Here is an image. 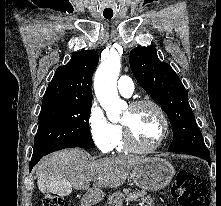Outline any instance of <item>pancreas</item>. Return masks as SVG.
Returning <instances> with one entry per match:
<instances>
[{
    "label": "pancreas",
    "mask_w": 221,
    "mask_h": 206,
    "mask_svg": "<svg viewBox=\"0 0 221 206\" xmlns=\"http://www.w3.org/2000/svg\"><path fill=\"white\" fill-rule=\"evenodd\" d=\"M133 196L140 198L139 204L141 206H154V199L150 195H146L144 192L132 191L130 189H124L123 192H116L107 198L105 206H123V203Z\"/></svg>",
    "instance_id": "obj_1"
}]
</instances>
